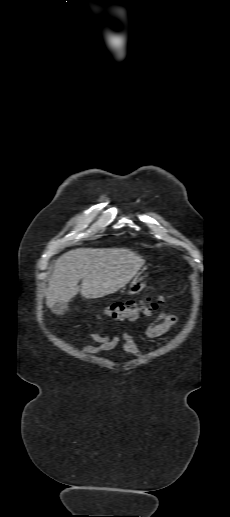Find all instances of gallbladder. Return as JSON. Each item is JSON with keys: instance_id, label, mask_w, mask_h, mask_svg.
<instances>
[{"instance_id": "gallbladder-1", "label": "gallbladder", "mask_w": 230, "mask_h": 517, "mask_svg": "<svg viewBox=\"0 0 230 517\" xmlns=\"http://www.w3.org/2000/svg\"><path fill=\"white\" fill-rule=\"evenodd\" d=\"M68 309L67 303H55L51 310L56 314H63Z\"/></svg>"}]
</instances>
